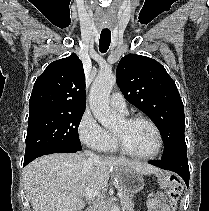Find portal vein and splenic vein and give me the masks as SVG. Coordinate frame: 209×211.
Returning <instances> with one entry per match:
<instances>
[{
  "mask_svg": "<svg viewBox=\"0 0 209 211\" xmlns=\"http://www.w3.org/2000/svg\"><path fill=\"white\" fill-rule=\"evenodd\" d=\"M99 194H100V191L99 190H93V189L87 188L82 193V196H84L86 198L94 199L97 196H99ZM117 196L118 197H121L122 196V193L121 192H118L117 193Z\"/></svg>",
  "mask_w": 209,
  "mask_h": 211,
  "instance_id": "obj_1",
  "label": "portal vein and splenic vein"
}]
</instances>
